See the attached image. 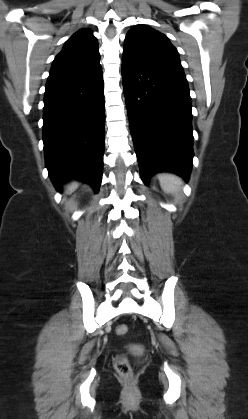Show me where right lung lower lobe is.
I'll return each mask as SVG.
<instances>
[{
    "instance_id": "1",
    "label": "right lung lower lobe",
    "mask_w": 248,
    "mask_h": 419,
    "mask_svg": "<svg viewBox=\"0 0 248 419\" xmlns=\"http://www.w3.org/2000/svg\"><path fill=\"white\" fill-rule=\"evenodd\" d=\"M105 103L101 66L66 79L47 81L43 142L54 185L76 178L98 192L102 181Z\"/></svg>"
}]
</instances>
